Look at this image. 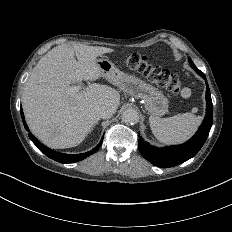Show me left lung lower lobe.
I'll use <instances>...</instances> for the list:
<instances>
[{"label": "left lung lower lobe", "instance_id": "left-lung-lower-lobe-1", "mask_svg": "<svg viewBox=\"0 0 232 232\" xmlns=\"http://www.w3.org/2000/svg\"><path fill=\"white\" fill-rule=\"evenodd\" d=\"M198 74L206 81L204 73L200 72ZM206 86V116L195 135L181 145L164 148L152 146L139 136L138 148L145 159L155 166L168 168L184 163L199 152L213 124V104L207 81Z\"/></svg>", "mask_w": 232, "mask_h": 232}]
</instances>
